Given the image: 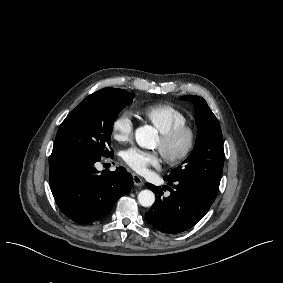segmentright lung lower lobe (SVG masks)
Masks as SVG:
<instances>
[{"instance_id": "1", "label": "right lung lower lobe", "mask_w": 283, "mask_h": 283, "mask_svg": "<svg viewBox=\"0 0 283 283\" xmlns=\"http://www.w3.org/2000/svg\"><path fill=\"white\" fill-rule=\"evenodd\" d=\"M100 160L89 155L50 162L52 194L60 210L77 223L105 217L132 188L133 178L123 167L98 175L95 163Z\"/></svg>"}]
</instances>
